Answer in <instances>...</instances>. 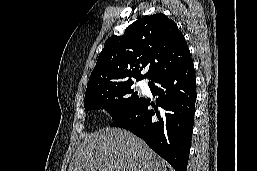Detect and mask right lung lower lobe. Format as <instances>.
I'll use <instances>...</instances> for the list:
<instances>
[{
  "label": "right lung lower lobe",
  "instance_id": "1",
  "mask_svg": "<svg viewBox=\"0 0 257 171\" xmlns=\"http://www.w3.org/2000/svg\"><path fill=\"white\" fill-rule=\"evenodd\" d=\"M151 80L148 85L158 96V106L149 109V100L140 97L130 110L113 119L111 126L130 130L175 171H186L197 96L193 60Z\"/></svg>",
  "mask_w": 257,
  "mask_h": 171
}]
</instances>
